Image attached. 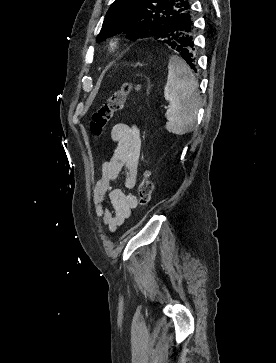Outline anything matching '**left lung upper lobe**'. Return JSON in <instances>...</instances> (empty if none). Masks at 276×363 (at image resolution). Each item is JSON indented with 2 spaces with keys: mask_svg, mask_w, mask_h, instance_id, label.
<instances>
[{
  "mask_svg": "<svg viewBox=\"0 0 276 363\" xmlns=\"http://www.w3.org/2000/svg\"><path fill=\"white\" fill-rule=\"evenodd\" d=\"M188 0H116L109 8L98 41L125 32L129 39L154 37L168 45Z\"/></svg>",
  "mask_w": 276,
  "mask_h": 363,
  "instance_id": "left-lung-upper-lobe-1",
  "label": "left lung upper lobe"
}]
</instances>
